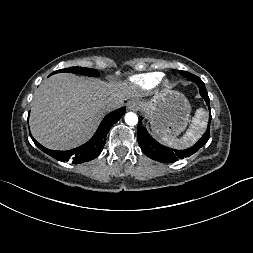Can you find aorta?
<instances>
[{"label": "aorta", "mask_w": 253, "mask_h": 253, "mask_svg": "<svg viewBox=\"0 0 253 253\" xmlns=\"http://www.w3.org/2000/svg\"><path fill=\"white\" fill-rule=\"evenodd\" d=\"M125 122L130 125V126H134L138 123V117L135 113L133 112H128L125 115Z\"/></svg>", "instance_id": "obj_1"}]
</instances>
